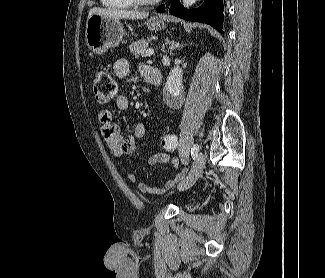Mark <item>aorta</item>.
Wrapping results in <instances>:
<instances>
[{
    "instance_id": "1",
    "label": "aorta",
    "mask_w": 325,
    "mask_h": 278,
    "mask_svg": "<svg viewBox=\"0 0 325 278\" xmlns=\"http://www.w3.org/2000/svg\"><path fill=\"white\" fill-rule=\"evenodd\" d=\"M197 0H182V4L189 8L196 3ZM165 89L167 95L172 99H177L182 94V69L179 65L174 66L167 78Z\"/></svg>"
}]
</instances>
